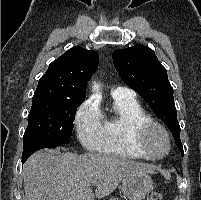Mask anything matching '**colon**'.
I'll return each mask as SVG.
<instances>
[{
    "mask_svg": "<svg viewBox=\"0 0 201 200\" xmlns=\"http://www.w3.org/2000/svg\"><path fill=\"white\" fill-rule=\"evenodd\" d=\"M147 200H163L160 192H151Z\"/></svg>",
    "mask_w": 201,
    "mask_h": 200,
    "instance_id": "obj_1",
    "label": "colon"
}]
</instances>
